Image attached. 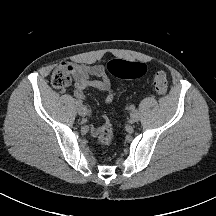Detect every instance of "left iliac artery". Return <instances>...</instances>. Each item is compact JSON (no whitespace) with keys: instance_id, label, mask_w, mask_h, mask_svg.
Returning a JSON list of instances; mask_svg holds the SVG:
<instances>
[{"instance_id":"1","label":"left iliac artery","mask_w":216,"mask_h":216,"mask_svg":"<svg viewBox=\"0 0 216 216\" xmlns=\"http://www.w3.org/2000/svg\"><path fill=\"white\" fill-rule=\"evenodd\" d=\"M129 110H130V111H134V110H135V106H134V105H130V106H129Z\"/></svg>"}]
</instances>
